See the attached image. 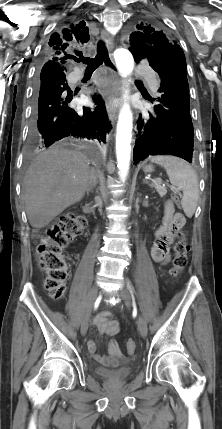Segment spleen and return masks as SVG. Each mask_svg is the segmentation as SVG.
Returning <instances> with one entry per match:
<instances>
[{"mask_svg": "<svg viewBox=\"0 0 222 429\" xmlns=\"http://www.w3.org/2000/svg\"><path fill=\"white\" fill-rule=\"evenodd\" d=\"M151 162L162 166L171 184L182 190L181 205L185 215L191 218L195 213L199 197L198 179L193 168L184 160L174 156H154Z\"/></svg>", "mask_w": 222, "mask_h": 429, "instance_id": "1", "label": "spleen"}]
</instances>
